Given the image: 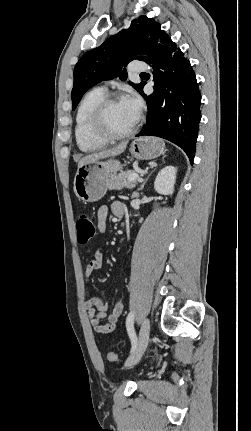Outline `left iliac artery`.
<instances>
[{
    "mask_svg": "<svg viewBox=\"0 0 251 431\" xmlns=\"http://www.w3.org/2000/svg\"><path fill=\"white\" fill-rule=\"evenodd\" d=\"M134 315V311H131L126 318V328L132 343L131 352H133L137 347V337L134 330Z\"/></svg>",
    "mask_w": 251,
    "mask_h": 431,
    "instance_id": "obj_1",
    "label": "left iliac artery"
}]
</instances>
